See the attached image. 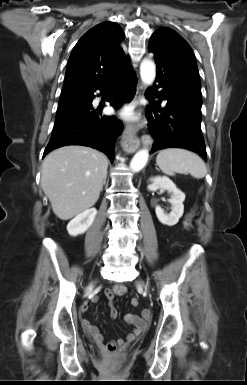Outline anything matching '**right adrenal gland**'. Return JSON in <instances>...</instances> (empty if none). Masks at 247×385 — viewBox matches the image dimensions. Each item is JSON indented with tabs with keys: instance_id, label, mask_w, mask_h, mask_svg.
I'll use <instances>...</instances> for the list:
<instances>
[{
	"instance_id": "2a0ac1e0",
	"label": "right adrenal gland",
	"mask_w": 247,
	"mask_h": 385,
	"mask_svg": "<svg viewBox=\"0 0 247 385\" xmlns=\"http://www.w3.org/2000/svg\"><path fill=\"white\" fill-rule=\"evenodd\" d=\"M106 184V178L104 179V181H103V185H105Z\"/></svg>"
}]
</instances>
